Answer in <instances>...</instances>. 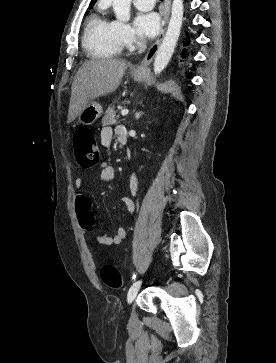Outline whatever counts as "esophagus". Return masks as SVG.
Returning <instances> with one entry per match:
<instances>
[{
    "instance_id": "1",
    "label": "esophagus",
    "mask_w": 276,
    "mask_h": 363,
    "mask_svg": "<svg viewBox=\"0 0 276 363\" xmlns=\"http://www.w3.org/2000/svg\"><path fill=\"white\" fill-rule=\"evenodd\" d=\"M170 4H171V0H164V3L162 5V7H161L162 22H161V28H160L158 38L155 41V43L151 46L149 51L147 52V54L144 57L142 63L135 69V73H137V74H143V73L146 72L148 66L150 65V63L152 62L154 56L157 53L159 45H160V43H161V41H162V39L164 37V32H165L166 25H167V22H168L169 13H170Z\"/></svg>"
}]
</instances>
